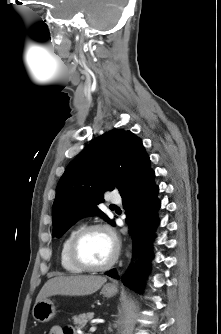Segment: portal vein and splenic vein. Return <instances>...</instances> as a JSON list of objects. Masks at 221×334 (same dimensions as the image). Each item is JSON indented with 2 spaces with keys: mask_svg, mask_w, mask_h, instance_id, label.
I'll return each mask as SVG.
<instances>
[{
  "mask_svg": "<svg viewBox=\"0 0 221 334\" xmlns=\"http://www.w3.org/2000/svg\"><path fill=\"white\" fill-rule=\"evenodd\" d=\"M96 331V327L95 326H92L91 328H90V332H95Z\"/></svg>",
  "mask_w": 221,
  "mask_h": 334,
  "instance_id": "obj_1",
  "label": "portal vein and splenic vein"
}]
</instances>
